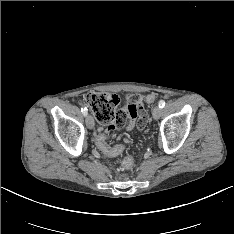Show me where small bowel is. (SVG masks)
<instances>
[{"mask_svg": "<svg viewBox=\"0 0 234 234\" xmlns=\"http://www.w3.org/2000/svg\"><path fill=\"white\" fill-rule=\"evenodd\" d=\"M144 101L146 100H144V98L141 95L129 94L127 96L126 104L121 109V111L126 115L128 119V123L126 126V129L128 131H131L135 128L136 121V128L139 133H142L143 128H145L146 124H148L150 115L149 113L145 112Z\"/></svg>", "mask_w": 234, "mask_h": 234, "instance_id": "1", "label": "small bowel"}]
</instances>
